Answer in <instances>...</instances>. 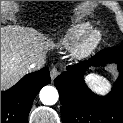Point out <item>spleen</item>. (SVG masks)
I'll list each match as a JSON object with an SVG mask.
<instances>
[{
	"label": "spleen",
	"instance_id": "spleen-1",
	"mask_svg": "<svg viewBox=\"0 0 123 123\" xmlns=\"http://www.w3.org/2000/svg\"><path fill=\"white\" fill-rule=\"evenodd\" d=\"M85 81L91 87V89L98 94L103 95L111 88V83L108 81V79L97 73L88 74L85 77Z\"/></svg>",
	"mask_w": 123,
	"mask_h": 123
}]
</instances>
